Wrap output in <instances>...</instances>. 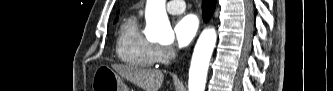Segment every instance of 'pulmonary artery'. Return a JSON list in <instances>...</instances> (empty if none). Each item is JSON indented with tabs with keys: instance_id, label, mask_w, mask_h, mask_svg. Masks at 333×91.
<instances>
[{
	"instance_id": "pulmonary-artery-1",
	"label": "pulmonary artery",
	"mask_w": 333,
	"mask_h": 91,
	"mask_svg": "<svg viewBox=\"0 0 333 91\" xmlns=\"http://www.w3.org/2000/svg\"><path fill=\"white\" fill-rule=\"evenodd\" d=\"M186 9L185 2L183 0H172L167 3V10L171 14H179Z\"/></svg>"
}]
</instances>
